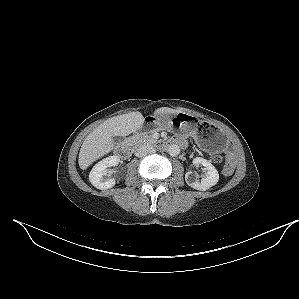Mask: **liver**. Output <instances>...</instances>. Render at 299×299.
<instances>
[{"instance_id":"liver-1","label":"liver","mask_w":299,"mask_h":299,"mask_svg":"<svg viewBox=\"0 0 299 299\" xmlns=\"http://www.w3.org/2000/svg\"><path fill=\"white\" fill-rule=\"evenodd\" d=\"M179 111L161 107L155 110V115H174ZM144 123L140 112H131L109 118L89 133L79 152L78 163L82 170L87 169L94 161L114 149L113 136L125 137L139 130Z\"/></svg>"}]
</instances>
